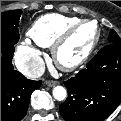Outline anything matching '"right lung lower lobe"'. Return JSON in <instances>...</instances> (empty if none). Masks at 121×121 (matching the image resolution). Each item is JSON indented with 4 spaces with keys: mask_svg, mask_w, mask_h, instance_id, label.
Masks as SVG:
<instances>
[{
    "mask_svg": "<svg viewBox=\"0 0 121 121\" xmlns=\"http://www.w3.org/2000/svg\"><path fill=\"white\" fill-rule=\"evenodd\" d=\"M1 121H20L26 115L32 92L41 86L14 70V45L1 43Z\"/></svg>",
    "mask_w": 121,
    "mask_h": 121,
    "instance_id": "98d812e1",
    "label": "right lung lower lobe"
}]
</instances>
